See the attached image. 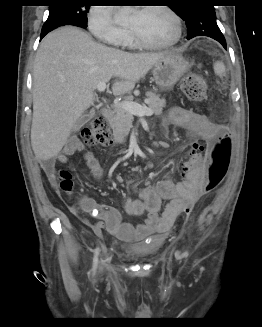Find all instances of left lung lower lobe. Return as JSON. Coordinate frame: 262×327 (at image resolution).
Returning a JSON list of instances; mask_svg holds the SVG:
<instances>
[{
    "label": "left lung lower lobe",
    "mask_w": 262,
    "mask_h": 327,
    "mask_svg": "<svg viewBox=\"0 0 262 327\" xmlns=\"http://www.w3.org/2000/svg\"><path fill=\"white\" fill-rule=\"evenodd\" d=\"M200 35L211 37V38L217 40L218 42H220L222 44V46L224 48H226V41H225V38H224L222 32L220 31L219 27L216 29L206 30L203 32L196 30L192 34L188 35L187 38L191 39L193 37L200 36Z\"/></svg>",
    "instance_id": "obj_1"
}]
</instances>
